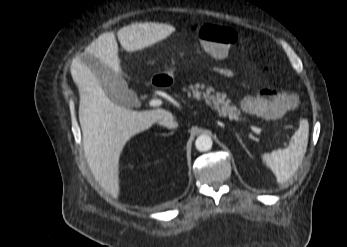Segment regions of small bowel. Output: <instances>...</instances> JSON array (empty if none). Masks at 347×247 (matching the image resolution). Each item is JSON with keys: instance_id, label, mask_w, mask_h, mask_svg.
I'll return each instance as SVG.
<instances>
[{"instance_id": "c3829d8e", "label": "small bowel", "mask_w": 347, "mask_h": 247, "mask_svg": "<svg viewBox=\"0 0 347 247\" xmlns=\"http://www.w3.org/2000/svg\"><path fill=\"white\" fill-rule=\"evenodd\" d=\"M214 70L219 73L222 76L225 77H232L234 75V72L230 68L226 67H216Z\"/></svg>"}]
</instances>
